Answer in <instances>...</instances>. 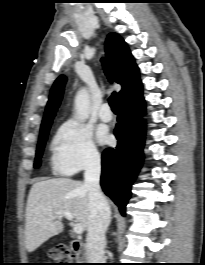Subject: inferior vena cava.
Masks as SVG:
<instances>
[{"instance_id": "obj_1", "label": "inferior vena cava", "mask_w": 205, "mask_h": 265, "mask_svg": "<svg viewBox=\"0 0 205 265\" xmlns=\"http://www.w3.org/2000/svg\"><path fill=\"white\" fill-rule=\"evenodd\" d=\"M101 159L98 153L89 156L84 173L88 188L90 220L86 238V251L90 263H103L106 245L105 232L110 224L109 204L100 189Z\"/></svg>"}]
</instances>
